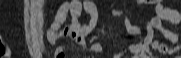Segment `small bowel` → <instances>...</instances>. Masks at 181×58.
<instances>
[{
	"mask_svg": "<svg viewBox=\"0 0 181 58\" xmlns=\"http://www.w3.org/2000/svg\"><path fill=\"white\" fill-rule=\"evenodd\" d=\"M85 11L90 15L96 13V7L91 1L70 0L63 2L58 8L54 20L47 32V38L49 42L56 43L59 36L71 37L77 41L87 52L88 58H92L93 53H100L103 48L100 44L94 43L87 45L85 42V36L92 30L93 25L81 26L78 23V18L81 13ZM114 14H122L119 10H114ZM68 15L72 18L70 26L61 29L62 25L66 21ZM169 22L171 24H179L181 22V13L177 10L165 6L162 1L156 2V16L149 19L144 30H141L137 26L131 25L128 19L125 20L127 31L135 36L139 37V42L127 46L124 50L116 53L114 58H121L127 53H131L133 58H153L152 50L159 51L160 53L173 55L181 50V45L177 43L180 38L174 32L163 27L162 22ZM155 30L159 31L167 40L172 42L174 46L170 47L164 43H160L154 40ZM65 49L63 46H58L56 49V56L64 54ZM176 58H181V55Z\"/></svg>",
	"mask_w": 181,
	"mask_h": 58,
	"instance_id": "1",
	"label": "small bowel"
}]
</instances>
